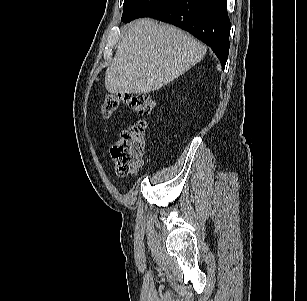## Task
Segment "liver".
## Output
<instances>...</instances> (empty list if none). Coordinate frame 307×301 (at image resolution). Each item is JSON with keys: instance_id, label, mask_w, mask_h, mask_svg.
<instances>
[{"instance_id": "6515ba94", "label": "liver", "mask_w": 307, "mask_h": 301, "mask_svg": "<svg viewBox=\"0 0 307 301\" xmlns=\"http://www.w3.org/2000/svg\"><path fill=\"white\" fill-rule=\"evenodd\" d=\"M206 51V46L172 25L136 20L118 43L105 73V87L121 94L158 90L201 61Z\"/></svg>"}]
</instances>
